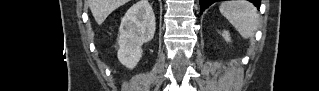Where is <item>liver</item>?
Here are the masks:
<instances>
[{"label": "liver", "instance_id": "liver-1", "mask_svg": "<svg viewBox=\"0 0 319 91\" xmlns=\"http://www.w3.org/2000/svg\"><path fill=\"white\" fill-rule=\"evenodd\" d=\"M127 2L128 0H87V4L99 25L105 21L109 14Z\"/></svg>", "mask_w": 319, "mask_h": 91}]
</instances>
